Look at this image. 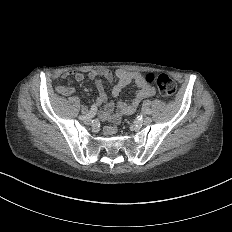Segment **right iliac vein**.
<instances>
[{
  "instance_id": "1",
  "label": "right iliac vein",
  "mask_w": 232,
  "mask_h": 232,
  "mask_svg": "<svg viewBox=\"0 0 232 232\" xmlns=\"http://www.w3.org/2000/svg\"><path fill=\"white\" fill-rule=\"evenodd\" d=\"M84 124L85 125H91L92 124V120L91 119H85L84 120Z\"/></svg>"
}]
</instances>
